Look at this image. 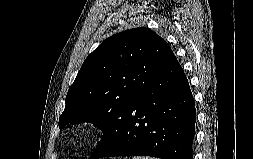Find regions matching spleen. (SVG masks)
<instances>
[{
    "label": "spleen",
    "mask_w": 253,
    "mask_h": 159,
    "mask_svg": "<svg viewBox=\"0 0 253 159\" xmlns=\"http://www.w3.org/2000/svg\"><path fill=\"white\" fill-rule=\"evenodd\" d=\"M133 159H159V158L148 157V156H134Z\"/></svg>",
    "instance_id": "spleen-1"
}]
</instances>
